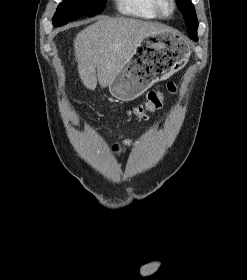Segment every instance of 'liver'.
Segmentation results:
<instances>
[{"label":"liver","instance_id":"liver-1","mask_svg":"<svg viewBox=\"0 0 247 280\" xmlns=\"http://www.w3.org/2000/svg\"><path fill=\"white\" fill-rule=\"evenodd\" d=\"M168 31L164 25L132 18H104L89 25L74 40L82 83L95 90L98 78L101 87L109 86L144 38Z\"/></svg>","mask_w":247,"mask_h":280}]
</instances>
